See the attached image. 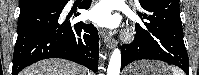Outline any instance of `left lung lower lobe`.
Segmentation results:
<instances>
[{
  "instance_id": "left-lung-lower-lobe-1",
  "label": "left lung lower lobe",
  "mask_w": 199,
  "mask_h": 75,
  "mask_svg": "<svg viewBox=\"0 0 199 75\" xmlns=\"http://www.w3.org/2000/svg\"><path fill=\"white\" fill-rule=\"evenodd\" d=\"M137 12L145 21L136 24L132 43L121 48V69L131 62L154 59L168 62L189 75V59L183 41L179 0H146Z\"/></svg>"
}]
</instances>
